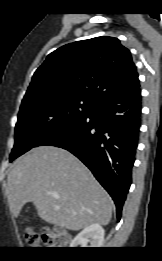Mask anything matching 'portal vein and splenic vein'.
<instances>
[{
    "mask_svg": "<svg viewBox=\"0 0 162 261\" xmlns=\"http://www.w3.org/2000/svg\"><path fill=\"white\" fill-rule=\"evenodd\" d=\"M53 197H54L55 199H58V198H59V195H58V194H53Z\"/></svg>",
    "mask_w": 162,
    "mask_h": 261,
    "instance_id": "portal-vein-and-splenic-vein-1",
    "label": "portal vein and splenic vein"
}]
</instances>
